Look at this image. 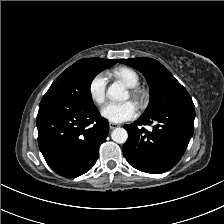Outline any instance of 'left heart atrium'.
<instances>
[{"label": "left heart atrium", "instance_id": "left-heart-atrium-1", "mask_svg": "<svg viewBox=\"0 0 224 224\" xmlns=\"http://www.w3.org/2000/svg\"><path fill=\"white\" fill-rule=\"evenodd\" d=\"M102 116L110 122L121 123L134 119L138 112L132 101L106 104L101 110Z\"/></svg>", "mask_w": 224, "mask_h": 224}]
</instances>
